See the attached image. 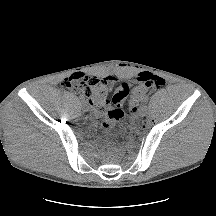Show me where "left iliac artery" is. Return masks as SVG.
I'll list each match as a JSON object with an SVG mask.
<instances>
[{
    "label": "left iliac artery",
    "mask_w": 216,
    "mask_h": 216,
    "mask_svg": "<svg viewBox=\"0 0 216 216\" xmlns=\"http://www.w3.org/2000/svg\"><path fill=\"white\" fill-rule=\"evenodd\" d=\"M149 102H150V99H149V98H146V99L143 101V104H144V105H147Z\"/></svg>",
    "instance_id": "left-iliac-artery-1"
}]
</instances>
